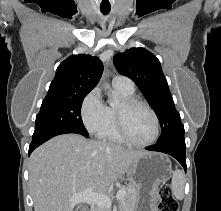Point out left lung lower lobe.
I'll return each mask as SVG.
<instances>
[{"label": "left lung lower lobe", "instance_id": "obj_1", "mask_svg": "<svg viewBox=\"0 0 221 211\" xmlns=\"http://www.w3.org/2000/svg\"><path fill=\"white\" fill-rule=\"evenodd\" d=\"M147 150L163 152L173 156L183 166L185 172L186 166V144L184 138H175L165 142L157 143L147 147Z\"/></svg>", "mask_w": 221, "mask_h": 211}]
</instances>
